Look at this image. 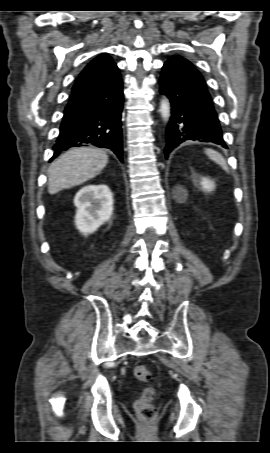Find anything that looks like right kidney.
<instances>
[{
	"instance_id": "right-kidney-1",
	"label": "right kidney",
	"mask_w": 270,
	"mask_h": 453,
	"mask_svg": "<svg viewBox=\"0 0 270 453\" xmlns=\"http://www.w3.org/2000/svg\"><path fill=\"white\" fill-rule=\"evenodd\" d=\"M74 205L77 229L84 235L91 234L111 218L113 194L106 185H87L77 192Z\"/></svg>"
}]
</instances>
